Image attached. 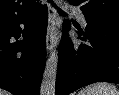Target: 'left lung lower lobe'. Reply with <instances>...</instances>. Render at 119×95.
<instances>
[{
  "label": "left lung lower lobe",
  "mask_w": 119,
  "mask_h": 95,
  "mask_svg": "<svg viewBox=\"0 0 119 95\" xmlns=\"http://www.w3.org/2000/svg\"><path fill=\"white\" fill-rule=\"evenodd\" d=\"M85 18V31L76 27V38L84 41L80 45L73 44L67 37L71 26L68 20L64 22L56 95H68L95 82L119 84V24Z\"/></svg>",
  "instance_id": "left-lung-lower-lobe-1"
}]
</instances>
